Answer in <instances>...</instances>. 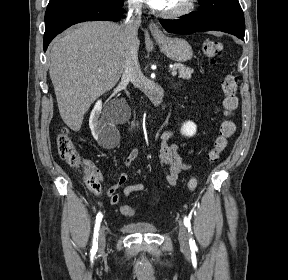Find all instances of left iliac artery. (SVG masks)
<instances>
[{"instance_id": "1", "label": "left iliac artery", "mask_w": 288, "mask_h": 280, "mask_svg": "<svg viewBox=\"0 0 288 280\" xmlns=\"http://www.w3.org/2000/svg\"><path fill=\"white\" fill-rule=\"evenodd\" d=\"M184 225L187 227L188 232H189L190 234H192L190 219H189L187 216H184ZM189 244H190V249H191L192 251H195V250L197 249L195 240L192 238V236H191L190 239H189Z\"/></svg>"}]
</instances>
